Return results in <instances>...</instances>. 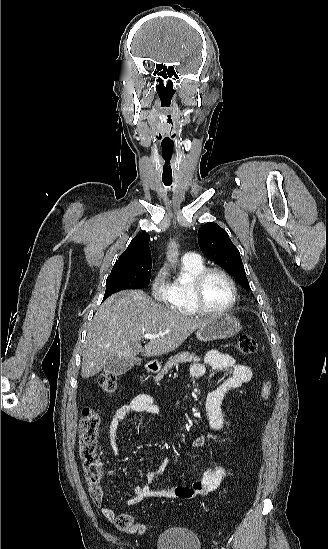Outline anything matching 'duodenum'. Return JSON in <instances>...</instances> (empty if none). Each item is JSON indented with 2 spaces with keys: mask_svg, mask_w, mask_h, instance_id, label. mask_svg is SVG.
Returning a JSON list of instances; mask_svg holds the SVG:
<instances>
[{
  "mask_svg": "<svg viewBox=\"0 0 328 549\" xmlns=\"http://www.w3.org/2000/svg\"><path fill=\"white\" fill-rule=\"evenodd\" d=\"M147 370L149 372H154L156 370V367L154 365L150 364V365L147 366Z\"/></svg>",
  "mask_w": 328,
  "mask_h": 549,
  "instance_id": "1",
  "label": "duodenum"
}]
</instances>
